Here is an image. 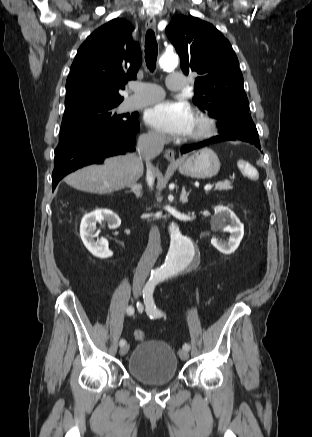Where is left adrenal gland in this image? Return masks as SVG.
<instances>
[{
  "label": "left adrenal gland",
  "mask_w": 312,
  "mask_h": 437,
  "mask_svg": "<svg viewBox=\"0 0 312 437\" xmlns=\"http://www.w3.org/2000/svg\"><path fill=\"white\" fill-rule=\"evenodd\" d=\"M191 193V190H189V192H186L185 187L182 188V193L180 196V200L183 204H186L188 202V196Z\"/></svg>",
  "instance_id": "left-adrenal-gland-1"
}]
</instances>
